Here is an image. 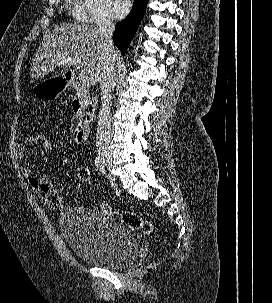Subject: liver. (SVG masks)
<instances>
[{
  "instance_id": "1",
  "label": "liver",
  "mask_w": 272,
  "mask_h": 303,
  "mask_svg": "<svg viewBox=\"0 0 272 303\" xmlns=\"http://www.w3.org/2000/svg\"><path fill=\"white\" fill-rule=\"evenodd\" d=\"M104 45L97 27L87 24H60L49 29L31 62L30 76L39 79L61 68L58 77H64L69 68L74 66L81 74L90 78L94 85L100 78L105 61ZM114 57L118 51L113 47ZM75 59L77 64L63 61Z\"/></svg>"
}]
</instances>
